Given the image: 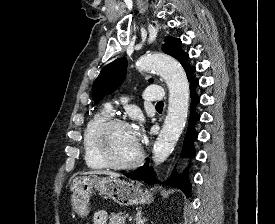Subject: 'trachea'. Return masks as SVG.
Returning a JSON list of instances; mask_svg holds the SVG:
<instances>
[{"mask_svg": "<svg viewBox=\"0 0 275 224\" xmlns=\"http://www.w3.org/2000/svg\"><path fill=\"white\" fill-rule=\"evenodd\" d=\"M164 104H163V101H160V102H158L157 104H156V106H163Z\"/></svg>", "mask_w": 275, "mask_h": 224, "instance_id": "trachea-1", "label": "trachea"}]
</instances>
